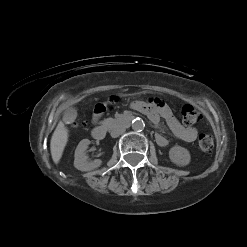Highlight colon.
Masks as SVG:
<instances>
[{"instance_id": "1", "label": "colon", "mask_w": 247, "mask_h": 247, "mask_svg": "<svg viewBox=\"0 0 247 247\" xmlns=\"http://www.w3.org/2000/svg\"><path fill=\"white\" fill-rule=\"evenodd\" d=\"M181 115L182 120L186 125H193L201 120V114L191 104H185L181 108ZM198 145L203 152H210L214 147L213 137L209 134L200 135Z\"/></svg>"}]
</instances>
